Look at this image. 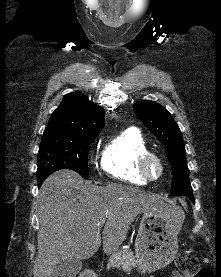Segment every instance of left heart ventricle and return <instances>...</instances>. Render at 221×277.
<instances>
[{
    "label": "left heart ventricle",
    "mask_w": 221,
    "mask_h": 277,
    "mask_svg": "<svg viewBox=\"0 0 221 277\" xmlns=\"http://www.w3.org/2000/svg\"><path fill=\"white\" fill-rule=\"evenodd\" d=\"M159 166L156 162H151L149 166V172L153 177H157L159 174Z\"/></svg>",
    "instance_id": "1"
}]
</instances>
